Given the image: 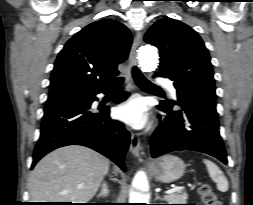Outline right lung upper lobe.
<instances>
[{
	"mask_svg": "<svg viewBox=\"0 0 253 205\" xmlns=\"http://www.w3.org/2000/svg\"><path fill=\"white\" fill-rule=\"evenodd\" d=\"M131 43L130 31L118 21L87 25L59 53L47 102L84 97L117 82V65L127 59Z\"/></svg>",
	"mask_w": 253,
	"mask_h": 205,
	"instance_id": "obj_1",
	"label": "right lung upper lobe"
}]
</instances>
